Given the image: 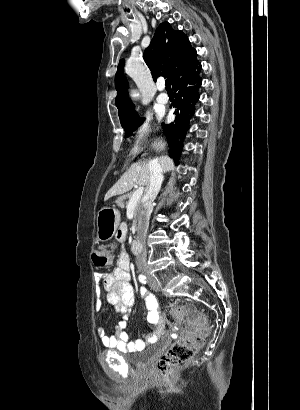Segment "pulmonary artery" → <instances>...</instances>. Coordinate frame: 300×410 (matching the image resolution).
<instances>
[{"mask_svg": "<svg viewBox=\"0 0 300 410\" xmlns=\"http://www.w3.org/2000/svg\"><path fill=\"white\" fill-rule=\"evenodd\" d=\"M157 89L159 90V95L157 97V101L160 104H166L169 100L168 95L164 92V83L159 82L157 85Z\"/></svg>", "mask_w": 300, "mask_h": 410, "instance_id": "obj_1", "label": "pulmonary artery"}]
</instances>
